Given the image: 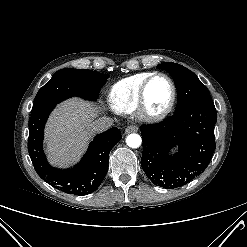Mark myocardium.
<instances>
[{"mask_svg":"<svg viewBox=\"0 0 247 247\" xmlns=\"http://www.w3.org/2000/svg\"><path fill=\"white\" fill-rule=\"evenodd\" d=\"M157 77H163L168 80L171 86L172 94H171V99L169 104L161 111L159 112H152L148 109L147 106V89L150 85V83ZM177 99V88L175 85V82L173 79L161 72H156L150 75L142 84L140 91H139V96H138V103L136 107V112L137 115L140 119L146 121V122H158L166 118L170 112L173 110L175 103Z\"/></svg>","mask_w":247,"mask_h":247,"instance_id":"f54148a6","label":"myocardium"}]
</instances>
